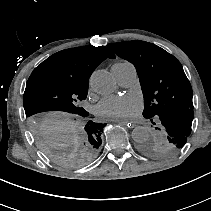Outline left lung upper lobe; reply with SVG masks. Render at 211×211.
<instances>
[{"label": "left lung upper lobe", "instance_id": "1", "mask_svg": "<svg viewBox=\"0 0 211 211\" xmlns=\"http://www.w3.org/2000/svg\"><path fill=\"white\" fill-rule=\"evenodd\" d=\"M107 47L131 62L139 76L143 116L156 130L152 138L139 145L140 151L153 158L174 155L186 144L194 117L193 92L182 65L164 49L145 41L112 43Z\"/></svg>", "mask_w": 211, "mask_h": 211}]
</instances>
